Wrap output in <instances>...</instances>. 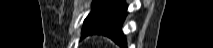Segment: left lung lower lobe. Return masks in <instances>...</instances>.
<instances>
[{
  "instance_id": "1",
  "label": "left lung lower lobe",
  "mask_w": 213,
  "mask_h": 48,
  "mask_svg": "<svg viewBox=\"0 0 213 48\" xmlns=\"http://www.w3.org/2000/svg\"><path fill=\"white\" fill-rule=\"evenodd\" d=\"M124 0H118L109 8L96 14L82 30V37L103 34L121 48H126V39L121 31V24L127 15Z\"/></svg>"
}]
</instances>
